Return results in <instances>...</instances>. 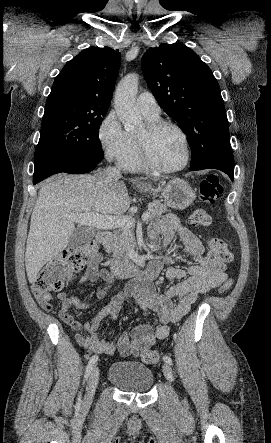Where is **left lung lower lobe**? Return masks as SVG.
Here are the masks:
<instances>
[{
  "label": "left lung lower lobe",
  "mask_w": 271,
  "mask_h": 443,
  "mask_svg": "<svg viewBox=\"0 0 271 443\" xmlns=\"http://www.w3.org/2000/svg\"><path fill=\"white\" fill-rule=\"evenodd\" d=\"M208 168L221 170V171L225 172L226 174H228L229 177L233 180L234 165L230 166V165H225L221 162L208 161V162H203L199 165L190 167V170L197 171V170L208 169Z\"/></svg>",
  "instance_id": "left-lung-lower-lobe-1"
}]
</instances>
